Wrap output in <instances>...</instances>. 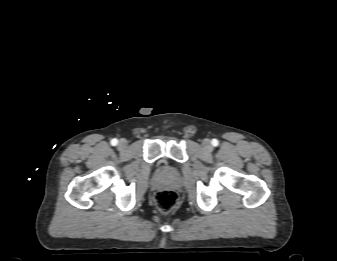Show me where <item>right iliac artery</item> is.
Here are the masks:
<instances>
[{
    "label": "right iliac artery",
    "mask_w": 337,
    "mask_h": 261,
    "mask_svg": "<svg viewBox=\"0 0 337 261\" xmlns=\"http://www.w3.org/2000/svg\"><path fill=\"white\" fill-rule=\"evenodd\" d=\"M117 144H118V140L117 139L114 138V139L111 140V145L115 146Z\"/></svg>",
    "instance_id": "obj_1"
}]
</instances>
